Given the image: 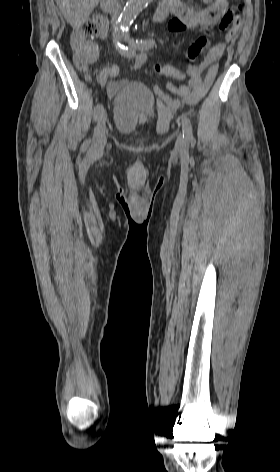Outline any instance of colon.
I'll use <instances>...</instances> for the list:
<instances>
[{
	"label": "colon",
	"instance_id": "obj_1",
	"mask_svg": "<svg viewBox=\"0 0 280 472\" xmlns=\"http://www.w3.org/2000/svg\"><path fill=\"white\" fill-rule=\"evenodd\" d=\"M241 10L240 5H235L233 8L228 9L224 15L222 16L219 22V29L225 30L228 27L232 26H239L241 22V16L239 11ZM78 32L83 34L86 37H95L100 32V23L96 19H90L85 22L81 27L78 29ZM212 37L211 33H207L206 35L198 38L188 49L187 57L190 61H193L208 45L209 41ZM74 62L76 66L80 69L85 68L86 64L80 57L74 56ZM155 71L158 74H162L169 78H183L185 73L175 68L173 65L170 64H157L155 66Z\"/></svg>",
	"mask_w": 280,
	"mask_h": 472
}]
</instances>
